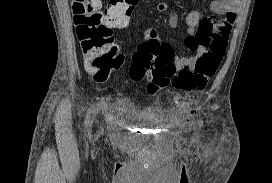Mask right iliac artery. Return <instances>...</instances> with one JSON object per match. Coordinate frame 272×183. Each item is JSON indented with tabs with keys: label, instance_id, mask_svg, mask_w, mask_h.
I'll use <instances>...</instances> for the list:
<instances>
[{
	"label": "right iliac artery",
	"instance_id": "obj_1",
	"mask_svg": "<svg viewBox=\"0 0 272 183\" xmlns=\"http://www.w3.org/2000/svg\"><path fill=\"white\" fill-rule=\"evenodd\" d=\"M89 116L87 115V119H86V121H85V124H88V122H89Z\"/></svg>",
	"mask_w": 272,
	"mask_h": 183
}]
</instances>
